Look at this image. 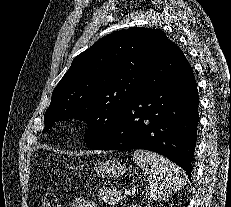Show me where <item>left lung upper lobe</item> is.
Returning <instances> with one entry per match:
<instances>
[{
    "label": "left lung upper lobe",
    "mask_w": 231,
    "mask_h": 207,
    "mask_svg": "<svg viewBox=\"0 0 231 207\" xmlns=\"http://www.w3.org/2000/svg\"><path fill=\"white\" fill-rule=\"evenodd\" d=\"M174 42L162 30L129 28L99 39L78 55L52 93L48 131L59 120L87 122L85 143L101 142L141 94L143 78Z\"/></svg>",
    "instance_id": "obj_1"
}]
</instances>
